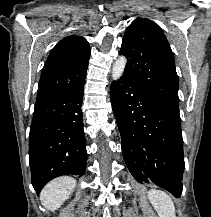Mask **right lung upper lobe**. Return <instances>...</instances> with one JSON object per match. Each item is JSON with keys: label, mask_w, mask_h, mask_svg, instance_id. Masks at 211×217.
<instances>
[{"label": "right lung upper lobe", "mask_w": 211, "mask_h": 217, "mask_svg": "<svg viewBox=\"0 0 211 217\" xmlns=\"http://www.w3.org/2000/svg\"><path fill=\"white\" fill-rule=\"evenodd\" d=\"M90 48L81 36L63 38L52 49L43 67L39 81L36 103L54 97L86 75Z\"/></svg>", "instance_id": "obj_1"}]
</instances>
